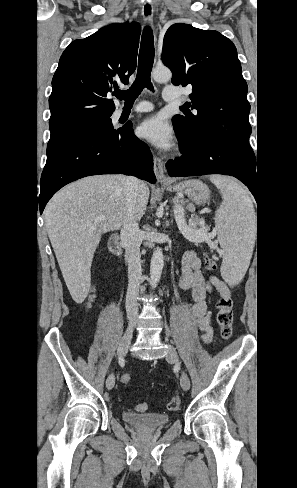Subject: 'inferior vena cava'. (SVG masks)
Instances as JSON below:
<instances>
[{
    "label": "inferior vena cava",
    "instance_id": "1",
    "mask_svg": "<svg viewBox=\"0 0 297 488\" xmlns=\"http://www.w3.org/2000/svg\"><path fill=\"white\" fill-rule=\"evenodd\" d=\"M143 183L135 177H127L124 187L126 197V216L121 229V243L125 248V257L128 262V289L126 295L127 317L138 315L137 297L142 282L140 245L143 234L134 218V205L136 197Z\"/></svg>",
    "mask_w": 297,
    "mask_h": 488
}]
</instances>
